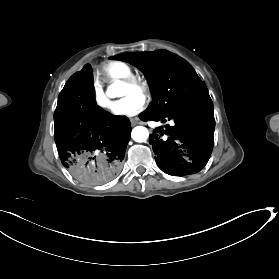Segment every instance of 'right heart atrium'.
Masks as SVG:
<instances>
[{
  "mask_svg": "<svg viewBox=\"0 0 279 279\" xmlns=\"http://www.w3.org/2000/svg\"><path fill=\"white\" fill-rule=\"evenodd\" d=\"M94 101L97 107L101 110L108 111L111 108L110 100L103 90L101 83L98 80L93 84Z\"/></svg>",
  "mask_w": 279,
  "mask_h": 279,
  "instance_id": "obj_1",
  "label": "right heart atrium"
}]
</instances>
